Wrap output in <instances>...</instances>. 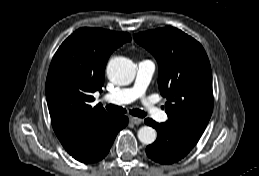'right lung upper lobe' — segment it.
<instances>
[{
    "instance_id": "right-lung-upper-lobe-1",
    "label": "right lung upper lobe",
    "mask_w": 259,
    "mask_h": 176,
    "mask_svg": "<svg viewBox=\"0 0 259 176\" xmlns=\"http://www.w3.org/2000/svg\"><path fill=\"white\" fill-rule=\"evenodd\" d=\"M131 40L128 33L80 28L55 53L46 79V99L55 134L73 153L91 141L112 119L92 94L102 91L110 54Z\"/></svg>"
}]
</instances>
